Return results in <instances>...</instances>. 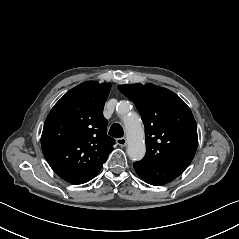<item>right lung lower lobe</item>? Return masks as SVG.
<instances>
[{"instance_id": "1", "label": "right lung lower lobe", "mask_w": 239, "mask_h": 239, "mask_svg": "<svg viewBox=\"0 0 239 239\" xmlns=\"http://www.w3.org/2000/svg\"><path fill=\"white\" fill-rule=\"evenodd\" d=\"M96 176V175H95ZM93 176V177H95ZM93 177H89V178H72V177H65V178H62L64 179L65 181L69 182V183H72V184H83V183H86L88 182L89 180H91Z\"/></svg>"}]
</instances>
